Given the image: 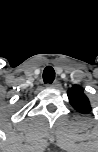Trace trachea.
<instances>
[{
  "label": "trachea",
  "mask_w": 98,
  "mask_h": 152,
  "mask_svg": "<svg viewBox=\"0 0 98 152\" xmlns=\"http://www.w3.org/2000/svg\"><path fill=\"white\" fill-rule=\"evenodd\" d=\"M55 79V71L51 66H47L43 71L44 83L51 84Z\"/></svg>",
  "instance_id": "1"
}]
</instances>
